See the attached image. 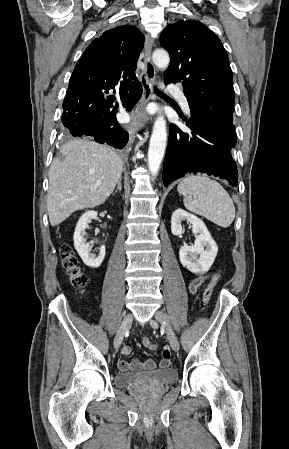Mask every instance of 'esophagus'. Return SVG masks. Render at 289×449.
Wrapping results in <instances>:
<instances>
[{
  "label": "esophagus",
  "mask_w": 289,
  "mask_h": 449,
  "mask_svg": "<svg viewBox=\"0 0 289 449\" xmlns=\"http://www.w3.org/2000/svg\"><path fill=\"white\" fill-rule=\"evenodd\" d=\"M153 40L149 35L145 37V44L143 50L145 75L141 78V84L143 87V95L139 103L133 108L131 112V123L128 126L130 134V143H133L135 139V133L143 126V119L146 118L145 106L152 100H154L153 85L156 78V69L151 60Z\"/></svg>",
  "instance_id": "34e87169"
}]
</instances>
